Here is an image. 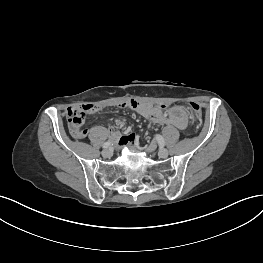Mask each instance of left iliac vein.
<instances>
[{"mask_svg":"<svg viewBox=\"0 0 263 263\" xmlns=\"http://www.w3.org/2000/svg\"><path fill=\"white\" fill-rule=\"evenodd\" d=\"M158 156L160 158H166L168 156V151L164 148H161L159 151H158Z\"/></svg>","mask_w":263,"mask_h":263,"instance_id":"obj_1","label":"left iliac vein"}]
</instances>
